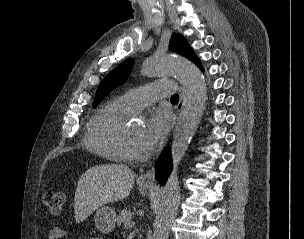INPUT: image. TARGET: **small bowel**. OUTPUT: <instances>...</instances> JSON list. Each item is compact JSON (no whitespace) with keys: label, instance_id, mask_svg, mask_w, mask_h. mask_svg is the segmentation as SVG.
Instances as JSON below:
<instances>
[{"label":"small bowel","instance_id":"c3829d8e","mask_svg":"<svg viewBox=\"0 0 304 239\" xmlns=\"http://www.w3.org/2000/svg\"><path fill=\"white\" fill-rule=\"evenodd\" d=\"M66 235V231L61 227H53L49 232V239H62Z\"/></svg>","mask_w":304,"mask_h":239}]
</instances>
